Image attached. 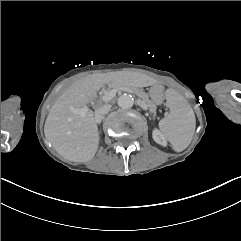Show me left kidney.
Listing matches in <instances>:
<instances>
[{
    "mask_svg": "<svg viewBox=\"0 0 241 241\" xmlns=\"http://www.w3.org/2000/svg\"><path fill=\"white\" fill-rule=\"evenodd\" d=\"M152 137L156 143L162 145L163 147L167 146V140H166L164 134L161 133L158 129L153 130Z\"/></svg>",
    "mask_w": 241,
    "mask_h": 241,
    "instance_id": "5707ae66",
    "label": "left kidney"
}]
</instances>
